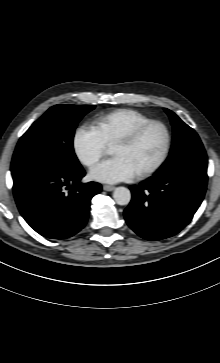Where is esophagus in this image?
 Returning <instances> with one entry per match:
<instances>
[{"instance_id": "34e87169", "label": "esophagus", "mask_w": 220, "mask_h": 363, "mask_svg": "<svg viewBox=\"0 0 220 363\" xmlns=\"http://www.w3.org/2000/svg\"><path fill=\"white\" fill-rule=\"evenodd\" d=\"M103 189L105 191H113L115 189V186H111V185H104Z\"/></svg>"}]
</instances>
